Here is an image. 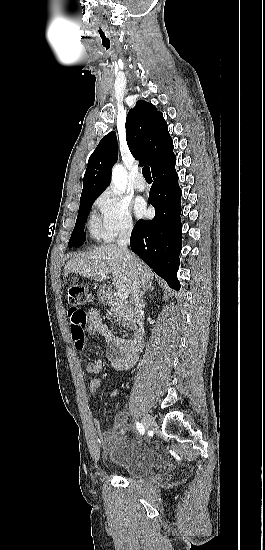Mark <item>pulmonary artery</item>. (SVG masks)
<instances>
[{
	"label": "pulmonary artery",
	"mask_w": 265,
	"mask_h": 550,
	"mask_svg": "<svg viewBox=\"0 0 265 550\" xmlns=\"http://www.w3.org/2000/svg\"><path fill=\"white\" fill-rule=\"evenodd\" d=\"M141 177V176H140ZM147 184L143 179L137 180L135 183V189L139 192L146 190Z\"/></svg>",
	"instance_id": "e3ab8cb5"
}]
</instances>
